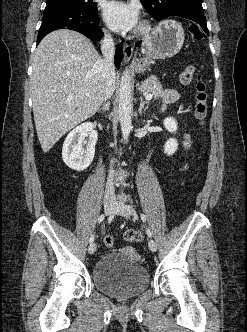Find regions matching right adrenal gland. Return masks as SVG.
<instances>
[{"instance_id": "2a0ac1e0", "label": "right adrenal gland", "mask_w": 247, "mask_h": 332, "mask_svg": "<svg viewBox=\"0 0 247 332\" xmlns=\"http://www.w3.org/2000/svg\"><path fill=\"white\" fill-rule=\"evenodd\" d=\"M109 108H110V102L105 100V102H104V104L102 105V107H100V108L98 109V112H100V111H104V112H106V111L109 110Z\"/></svg>"}]
</instances>
